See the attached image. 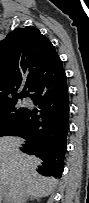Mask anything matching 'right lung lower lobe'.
<instances>
[{"label":"right lung lower lobe","instance_id":"1","mask_svg":"<svg viewBox=\"0 0 89 203\" xmlns=\"http://www.w3.org/2000/svg\"><path fill=\"white\" fill-rule=\"evenodd\" d=\"M29 92L27 96L38 108L28 109L9 135L27 140L20 149L43 161L38 173L60 178L69 127L68 87L62 65L40 77Z\"/></svg>","mask_w":89,"mask_h":203}]
</instances>
